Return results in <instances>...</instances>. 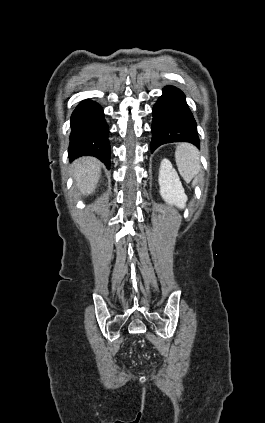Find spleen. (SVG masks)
I'll use <instances>...</instances> for the list:
<instances>
[{
  "instance_id": "spleen-1",
  "label": "spleen",
  "mask_w": 265,
  "mask_h": 423,
  "mask_svg": "<svg viewBox=\"0 0 265 423\" xmlns=\"http://www.w3.org/2000/svg\"><path fill=\"white\" fill-rule=\"evenodd\" d=\"M175 158L179 173L187 183L193 178H197L201 165L199 152L196 147L188 143L178 145L175 151ZM195 183L196 180L194 181Z\"/></svg>"
}]
</instances>
